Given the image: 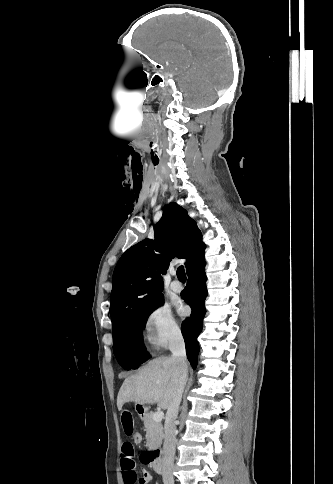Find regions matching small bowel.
Wrapping results in <instances>:
<instances>
[{
  "instance_id": "small-bowel-1",
  "label": "small bowel",
  "mask_w": 333,
  "mask_h": 484,
  "mask_svg": "<svg viewBox=\"0 0 333 484\" xmlns=\"http://www.w3.org/2000/svg\"><path fill=\"white\" fill-rule=\"evenodd\" d=\"M120 422L123 432L127 436H133L135 433V420L131 411L123 409L120 415ZM135 453L133 444L126 441L122 444L121 449V469L124 484H148L152 477L151 474L142 469L140 475L136 470Z\"/></svg>"
}]
</instances>
